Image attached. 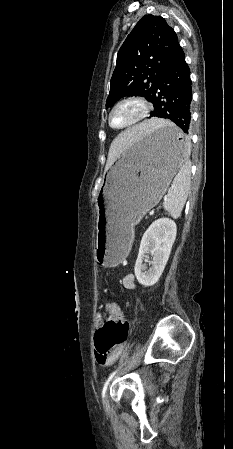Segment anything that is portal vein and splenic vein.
<instances>
[{"mask_svg":"<svg viewBox=\"0 0 233 449\" xmlns=\"http://www.w3.org/2000/svg\"><path fill=\"white\" fill-rule=\"evenodd\" d=\"M154 213H155V210H151V211L149 212L150 215H153Z\"/></svg>","mask_w":233,"mask_h":449,"instance_id":"obj_1","label":"portal vein and splenic vein"}]
</instances>
